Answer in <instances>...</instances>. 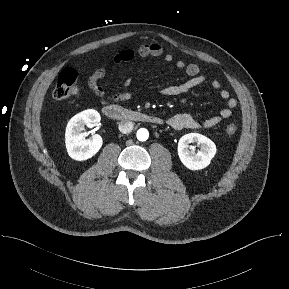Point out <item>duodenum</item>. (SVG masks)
<instances>
[{
	"label": "duodenum",
	"instance_id": "1",
	"mask_svg": "<svg viewBox=\"0 0 289 289\" xmlns=\"http://www.w3.org/2000/svg\"><path fill=\"white\" fill-rule=\"evenodd\" d=\"M102 113L110 119L121 120V121H134L161 125L163 120L160 117L146 114L143 112L132 111L121 108L117 105H107L102 109Z\"/></svg>",
	"mask_w": 289,
	"mask_h": 289
}]
</instances>
